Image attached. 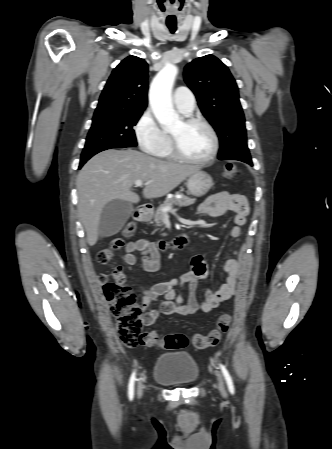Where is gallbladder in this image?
Segmentation results:
<instances>
[{
  "mask_svg": "<svg viewBox=\"0 0 332 449\" xmlns=\"http://www.w3.org/2000/svg\"><path fill=\"white\" fill-rule=\"evenodd\" d=\"M130 202L123 200H112L102 210L98 233L102 236L117 234L125 225L133 212Z\"/></svg>",
  "mask_w": 332,
  "mask_h": 449,
  "instance_id": "gallbladder-1",
  "label": "gallbladder"
}]
</instances>
